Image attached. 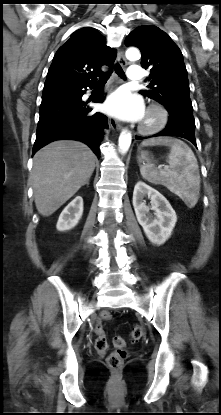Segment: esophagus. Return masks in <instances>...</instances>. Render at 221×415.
Instances as JSON below:
<instances>
[{"label": "esophagus", "mask_w": 221, "mask_h": 415, "mask_svg": "<svg viewBox=\"0 0 221 415\" xmlns=\"http://www.w3.org/2000/svg\"><path fill=\"white\" fill-rule=\"evenodd\" d=\"M118 62L122 65V66H126L127 65V60L125 59L124 56V52L122 50H120L118 52ZM109 125L113 130H121L122 129V124L120 122H118L117 120L113 119V118H109Z\"/></svg>", "instance_id": "esophagus-1"}]
</instances>
